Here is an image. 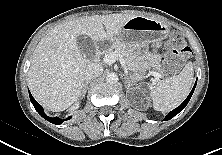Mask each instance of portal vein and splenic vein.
Masks as SVG:
<instances>
[{
	"label": "portal vein and splenic vein",
	"mask_w": 222,
	"mask_h": 155,
	"mask_svg": "<svg viewBox=\"0 0 222 155\" xmlns=\"http://www.w3.org/2000/svg\"><path fill=\"white\" fill-rule=\"evenodd\" d=\"M120 61L122 67L124 68V70L127 72L128 71V67L125 63V60L123 58V56H121L120 54H117V53H109V54H105L104 58H103V61L104 63L106 64H113L115 63L116 61ZM152 76H154V82H157L159 80V78H161V75L158 73V72H151L150 73Z\"/></svg>",
	"instance_id": "1"
}]
</instances>
